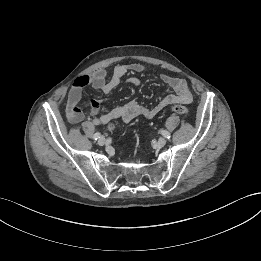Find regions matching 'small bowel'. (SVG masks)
Wrapping results in <instances>:
<instances>
[{
  "label": "small bowel",
  "mask_w": 261,
  "mask_h": 261,
  "mask_svg": "<svg viewBox=\"0 0 261 261\" xmlns=\"http://www.w3.org/2000/svg\"><path fill=\"white\" fill-rule=\"evenodd\" d=\"M128 72L143 73L145 72V67L139 63L120 64L114 68L109 79H107L106 70L102 68L97 69L89 75L77 77L73 82L68 96V120L71 123H78L83 119L84 115L77 105L82 100L85 87L92 86L103 94H109L121 83L123 77ZM160 78L173 90V93L162 96L153 107L144 106L135 101H129L113 108L108 113H102V100H90L92 123L94 125H103L117 118L128 123L140 116L151 119L169 105L190 104L192 102V94L184 79L165 74H162ZM126 83L138 86L141 82L138 77L132 76L126 79Z\"/></svg>",
  "instance_id": "c3829d8e"
}]
</instances>
